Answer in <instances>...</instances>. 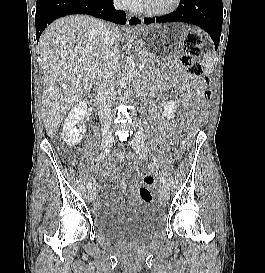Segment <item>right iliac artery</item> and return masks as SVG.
<instances>
[{"instance_id": "1", "label": "right iliac artery", "mask_w": 265, "mask_h": 273, "mask_svg": "<svg viewBox=\"0 0 265 273\" xmlns=\"http://www.w3.org/2000/svg\"><path fill=\"white\" fill-rule=\"evenodd\" d=\"M106 152H107V149L105 150L104 153H100V154L96 157V161H97V162H101L102 160H104V158H105V153H106ZM92 187H93V184H92V182L89 180V182H88V184H87L88 190L91 191Z\"/></svg>"}]
</instances>
